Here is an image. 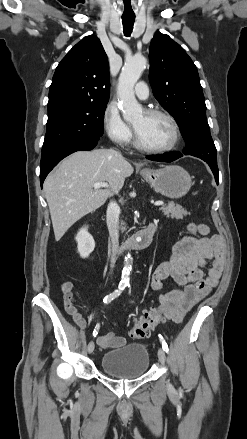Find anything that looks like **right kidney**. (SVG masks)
<instances>
[{
    "label": "right kidney",
    "mask_w": 247,
    "mask_h": 439,
    "mask_svg": "<svg viewBox=\"0 0 247 439\" xmlns=\"http://www.w3.org/2000/svg\"><path fill=\"white\" fill-rule=\"evenodd\" d=\"M76 242L78 252L82 258H87L95 248V241L88 232V227H83L79 230L76 236Z\"/></svg>",
    "instance_id": "ca27d5eb"
}]
</instances>
